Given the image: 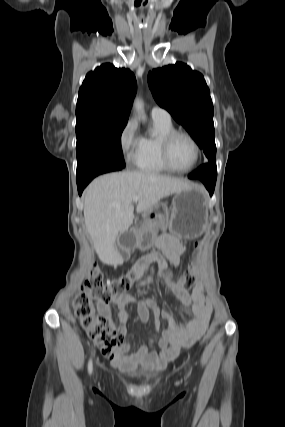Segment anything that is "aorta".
Returning <instances> with one entry per match:
<instances>
[{
    "mask_svg": "<svg viewBox=\"0 0 285 427\" xmlns=\"http://www.w3.org/2000/svg\"><path fill=\"white\" fill-rule=\"evenodd\" d=\"M134 108H135L136 112L139 114V116L142 119H145V116H144V103H143V101L141 99H139V98L135 99V101H134Z\"/></svg>",
    "mask_w": 285,
    "mask_h": 427,
    "instance_id": "aorta-1",
    "label": "aorta"
}]
</instances>
